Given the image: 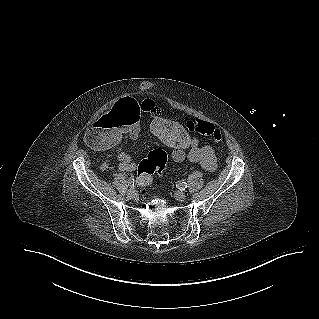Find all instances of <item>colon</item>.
I'll return each instance as SVG.
<instances>
[{"label":"colon","mask_w":319,"mask_h":319,"mask_svg":"<svg viewBox=\"0 0 319 319\" xmlns=\"http://www.w3.org/2000/svg\"><path fill=\"white\" fill-rule=\"evenodd\" d=\"M148 129L152 137L179 152L195 150L200 144V135L210 137L216 144H221L223 139V130L208 121L186 117L180 125L166 113L154 114L149 120ZM197 132L200 135H191V133ZM168 160L166 151L162 149L152 150L138 166L137 184L142 188L147 187L155 173L164 171L168 165ZM145 193L146 191L143 189L142 195L144 196Z\"/></svg>","instance_id":"5ec220e1"}]
</instances>
